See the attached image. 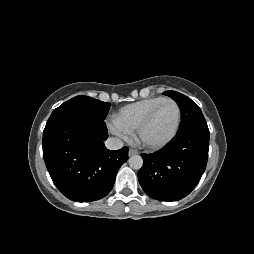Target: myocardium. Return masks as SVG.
<instances>
[{
  "instance_id": "obj_1",
  "label": "myocardium",
  "mask_w": 254,
  "mask_h": 254,
  "mask_svg": "<svg viewBox=\"0 0 254 254\" xmlns=\"http://www.w3.org/2000/svg\"><path fill=\"white\" fill-rule=\"evenodd\" d=\"M167 102L173 103L177 108L178 115H177L176 125H175L172 133L165 140H163L162 142H159V143H149L144 140L143 133H144L145 129L147 128V126L152 121V119L154 118V116L157 113V111L159 110V108L164 103H167ZM181 121H182V110H181L179 103L177 101H175L174 99L165 98L161 102H159L156 106H154L150 110V112L145 116V118L140 122V124L138 125V127L136 129L137 139L145 148H147L149 150L162 149L165 146H167L169 143H171L174 140V138L177 136L178 131L180 129Z\"/></svg>"
}]
</instances>
